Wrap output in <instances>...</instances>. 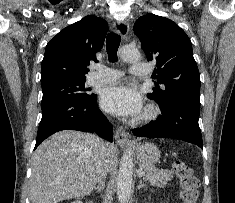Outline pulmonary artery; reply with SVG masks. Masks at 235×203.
I'll return each mask as SVG.
<instances>
[{"instance_id":"1","label":"pulmonary artery","mask_w":235,"mask_h":203,"mask_svg":"<svg viewBox=\"0 0 235 203\" xmlns=\"http://www.w3.org/2000/svg\"><path fill=\"white\" fill-rule=\"evenodd\" d=\"M95 69L96 71L92 72L87 79L89 85L113 83L122 76V72L117 69L100 65L96 66ZM130 73L136 76H144L148 74V66L144 63H134L131 66Z\"/></svg>"}]
</instances>
